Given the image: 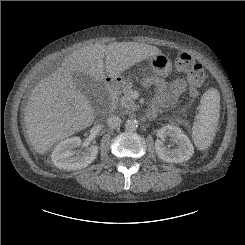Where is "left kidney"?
Returning <instances> with one entry per match:
<instances>
[{"label":"left kidney","instance_id":"obj_1","mask_svg":"<svg viewBox=\"0 0 245 245\" xmlns=\"http://www.w3.org/2000/svg\"><path fill=\"white\" fill-rule=\"evenodd\" d=\"M158 137L160 139L155 142V151L161 160L168 163H180L192 157L194 147L180 128L173 125H165L159 130ZM165 137H170L176 142L174 149L164 145L162 139Z\"/></svg>","mask_w":245,"mask_h":245}]
</instances>
